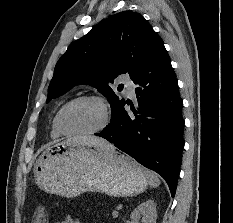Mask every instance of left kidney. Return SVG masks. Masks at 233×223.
Wrapping results in <instances>:
<instances>
[{
	"label": "left kidney",
	"mask_w": 233,
	"mask_h": 223,
	"mask_svg": "<svg viewBox=\"0 0 233 223\" xmlns=\"http://www.w3.org/2000/svg\"><path fill=\"white\" fill-rule=\"evenodd\" d=\"M130 217L131 223H138L140 217H142V223H156L157 211L154 199H147V201H142L140 205L135 207Z\"/></svg>",
	"instance_id": "left-kidney-1"
}]
</instances>
